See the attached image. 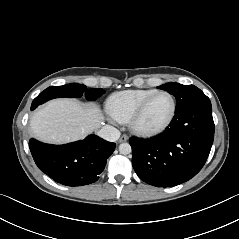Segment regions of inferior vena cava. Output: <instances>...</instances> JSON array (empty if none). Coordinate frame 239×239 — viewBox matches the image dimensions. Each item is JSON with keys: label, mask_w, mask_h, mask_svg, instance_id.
Wrapping results in <instances>:
<instances>
[{"label": "inferior vena cava", "mask_w": 239, "mask_h": 239, "mask_svg": "<svg viewBox=\"0 0 239 239\" xmlns=\"http://www.w3.org/2000/svg\"><path fill=\"white\" fill-rule=\"evenodd\" d=\"M99 136L107 141L115 142L120 137V131L111 125L103 126L99 131Z\"/></svg>", "instance_id": "obj_1"}]
</instances>
